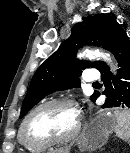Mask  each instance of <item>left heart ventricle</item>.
I'll use <instances>...</instances> for the list:
<instances>
[{"label": "left heart ventricle", "mask_w": 130, "mask_h": 153, "mask_svg": "<svg viewBox=\"0 0 130 153\" xmlns=\"http://www.w3.org/2000/svg\"><path fill=\"white\" fill-rule=\"evenodd\" d=\"M77 122L76 111L66 105L46 106L29 119L25 133L31 140L62 138L69 135Z\"/></svg>", "instance_id": "b2bd125f"}]
</instances>
